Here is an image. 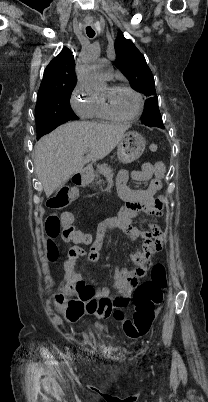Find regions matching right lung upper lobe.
Returning <instances> with one entry per match:
<instances>
[{"label":"right lung upper lobe","instance_id":"right-lung-upper-lobe-1","mask_svg":"<svg viewBox=\"0 0 208 402\" xmlns=\"http://www.w3.org/2000/svg\"><path fill=\"white\" fill-rule=\"evenodd\" d=\"M76 82L74 58L71 51L64 47L61 53L45 68L38 96L56 88L75 85Z\"/></svg>","mask_w":208,"mask_h":402}]
</instances>
